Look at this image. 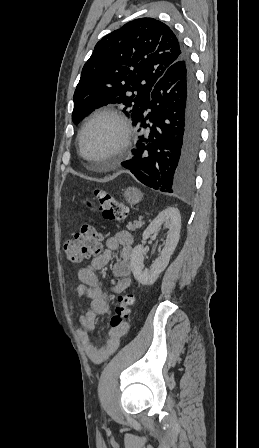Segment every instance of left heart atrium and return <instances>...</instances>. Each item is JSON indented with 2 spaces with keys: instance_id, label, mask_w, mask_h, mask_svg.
<instances>
[{
  "instance_id": "obj_1",
  "label": "left heart atrium",
  "mask_w": 259,
  "mask_h": 448,
  "mask_svg": "<svg viewBox=\"0 0 259 448\" xmlns=\"http://www.w3.org/2000/svg\"><path fill=\"white\" fill-rule=\"evenodd\" d=\"M149 154L151 155V154H152V152H151V151H149Z\"/></svg>"
}]
</instances>
